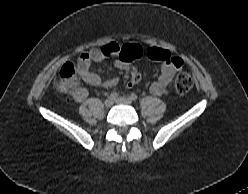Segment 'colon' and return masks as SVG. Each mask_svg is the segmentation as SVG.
<instances>
[{"mask_svg":"<svg viewBox=\"0 0 248 194\" xmlns=\"http://www.w3.org/2000/svg\"><path fill=\"white\" fill-rule=\"evenodd\" d=\"M139 80V74L134 72L131 82L136 83ZM78 73L77 69L72 63H65L59 70L58 76L55 79L54 86L59 92H71L77 87ZM194 81L190 74L180 73L177 75L174 81L175 90L184 94L191 90Z\"/></svg>","mask_w":248,"mask_h":194,"instance_id":"1","label":"colon"}]
</instances>
